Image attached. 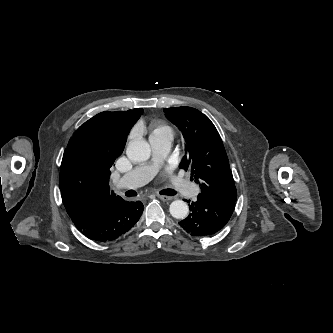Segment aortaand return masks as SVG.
I'll list each match as a JSON object with an SVG mask.
<instances>
[{"mask_svg":"<svg viewBox=\"0 0 333 333\" xmlns=\"http://www.w3.org/2000/svg\"><path fill=\"white\" fill-rule=\"evenodd\" d=\"M127 157L135 162H143L150 158L151 148L144 140L131 141L126 150ZM170 214L177 219H184L188 215V205L182 200H174L169 207Z\"/></svg>","mask_w":333,"mask_h":333,"instance_id":"obj_1","label":"aorta"}]
</instances>
